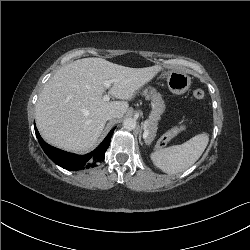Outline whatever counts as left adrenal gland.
Returning a JSON list of instances; mask_svg holds the SVG:
<instances>
[{"label": "left adrenal gland", "instance_id": "1", "mask_svg": "<svg viewBox=\"0 0 250 250\" xmlns=\"http://www.w3.org/2000/svg\"><path fill=\"white\" fill-rule=\"evenodd\" d=\"M145 130V124H142V126H141V130ZM141 133H142V131H140V134H139V142H140V144H142V142H141ZM147 143V142H146Z\"/></svg>", "mask_w": 250, "mask_h": 250}]
</instances>
